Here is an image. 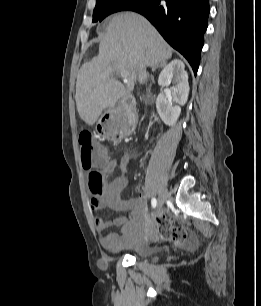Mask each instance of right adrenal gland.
Segmentation results:
<instances>
[{
  "mask_svg": "<svg viewBox=\"0 0 261 306\" xmlns=\"http://www.w3.org/2000/svg\"><path fill=\"white\" fill-rule=\"evenodd\" d=\"M162 67V65H156L152 67V72H154L157 68ZM151 78L153 79V76H151Z\"/></svg>",
  "mask_w": 261,
  "mask_h": 306,
  "instance_id": "obj_1",
  "label": "right adrenal gland"
}]
</instances>
